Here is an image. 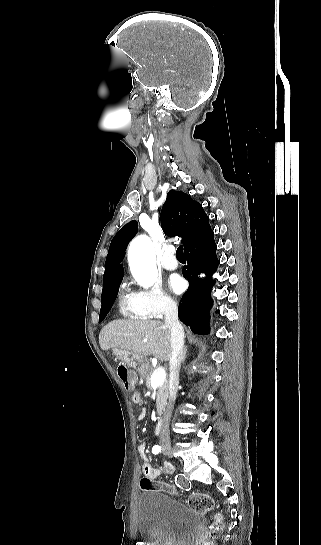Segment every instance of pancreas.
I'll list each match as a JSON object with an SVG mask.
<instances>
[{
	"instance_id": "1",
	"label": "pancreas",
	"mask_w": 321,
	"mask_h": 545,
	"mask_svg": "<svg viewBox=\"0 0 321 545\" xmlns=\"http://www.w3.org/2000/svg\"><path fill=\"white\" fill-rule=\"evenodd\" d=\"M153 373L152 367H149L148 371L144 373L143 377L145 379L146 387L147 389H150L152 391L153 387H151V375ZM157 399H156V407H157V413L158 415H162L164 411V407L166 405V401L168 399V381H164L160 387H157Z\"/></svg>"
}]
</instances>
